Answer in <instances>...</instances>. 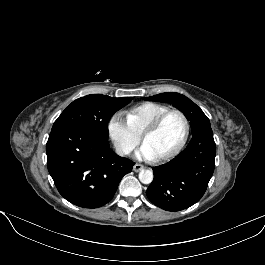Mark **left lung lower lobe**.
I'll use <instances>...</instances> for the list:
<instances>
[{"mask_svg":"<svg viewBox=\"0 0 265 265\" xmlns=\"http://www.w3.org/2000/svg\"><path fill=\"white\" fill-rule=\"evenodd\" d=\"M216 148L210 126L192 133L187 147L170 162L153 167L146 195L166 211H180L198 202L213 175Z\"/></svg>","mask_w":265,"mask_h":265,"instance_id":"obj_1","label":"left lung lower lobe"}]
</instances>
